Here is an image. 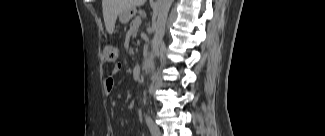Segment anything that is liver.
<instances>
[{
    "label": "liver",
    "instance_id": "6515ba94",
    "mask_svg": "<svg viewBox=\"0 0 325 136\" xmlns=\"http://www.w3.org/2000/svg\"><path fill=\"white\" fill-rule=\"evenodd\" d=\"M146 0H102L103 17L106 30L114 32L117 16L136 6L143 5Z\"/></svg>",
    "mask_w": 325,
    "mask_h": 136
}]
</instances>
